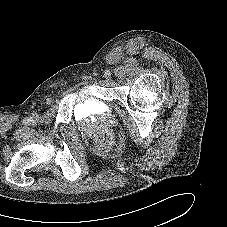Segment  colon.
I'll use <instances>...</instances> for the list:
<instances>
[{"instance_id":"colon-1","label":"colon","mask_w":227,"mask_h":227,"mask_svg":"<svg viewBox=\"0 0 227 227\" xmlns=\"http://www.w3.org/2000/svg\"><path fill=\"white\" fill-rule=\"evenodd\" d=\"M115 144V138L108 134L102 133L97 139V146L102 150H108Z\"/></svg>"}]
</instances>
